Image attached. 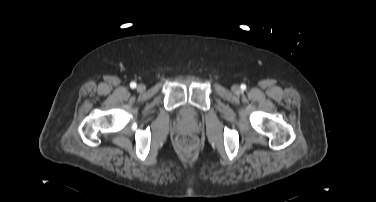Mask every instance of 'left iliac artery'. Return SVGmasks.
Listing matches in <instances>:
<instances>
[{"label": "left iliac artery", "mask_w": 376, "mask_h": 202, "mask_svg": "<svg viewBox=\"0 0 376 202\" xmlns=\"http://www.w3.org/2000/svg\"><path fill=\"white\" fill-rule=\"evenodd\" d=\"M241 89H242V90H245V89H246V85H245V84H242V85H241Z\"/></svg>", "instance_id": "obj_1"}]
</instances>
